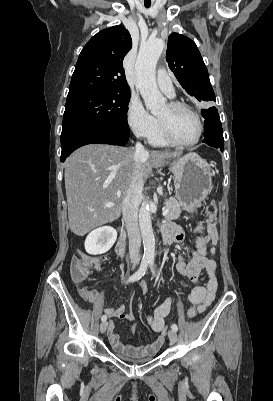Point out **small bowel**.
Masks as SVG:
<instances>
[{
  "label": "small bowel",
  "mask_w": 273,
  "mask_h": 401,
  "mask_svg": "<svg viewBox=\"0 0 273 401\" xmlns=\"http://www.w3.org/2000/svg\"><path fill=\"white\" fill-rule=\"evenodd\" d=\"M205 227H200L199 231L202 233L196 240L195 249L192 251V257L189 262H185L183 257H179L177 261V269L185 277L189 271H201L205 276L206 281L204 284H196V286L186 294V299L190 303L191 308L188 312L189 317H194L202 313L214 300L217 291L218 280L216 273V261L208 256V245L214 244L217 241L216 223L218 217L216 215H208L206 218ZM164 232L168 234L171 240L179 239L183 237V228L167 227ZM90 261H97L98 268H100V261L95 257L86 256ZM79 282H85V280H79ZM142 284V283H141ZM133 294V290L130 291ZM78 302L84 304H93L95 307L100 309L103 316L108 319L107 334L109 342L115 351L122 355H137V356H151L153 355L159 345L165 343L163 336H158L156 342L141 347L139 349H133L125 345L121 341L120 335L115 331L116 322L119 320L132 321L134 314L131 309L126 310L124 305H118L114 307H103L101 290H81L78 293ZM173 298L166 299L161 305H159L153 312L152 315L148 316L146 322L148 326L156 333H163L166 329L168 317L172 310Z\"/></svg>",
  "instance_id": "1"
}]
</instances>
